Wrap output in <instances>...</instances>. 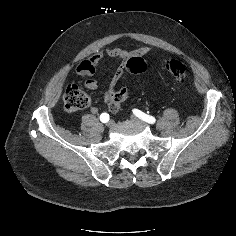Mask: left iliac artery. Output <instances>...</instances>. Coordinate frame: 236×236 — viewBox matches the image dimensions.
I'll use <instances>...</instances> for the list:
<instances>
[{
    "label": "left iliac artery",
    "mask_w": 236,
    "mask_h": 236,
    "mask_svg": "<svg viewBox=\"0 0 236 236\" xmlns=\"http://www.w3.org/2000/svg\"><path fill=\"white\" fill-rule=\"evenodd\" d=\"M133 113L140 118L141 120L149 123V124H154L156 122V119L153 116L147 115L144 112L138 110V109H134Z\"/></svg>",
    "instance_id": "44dca946"
}]
</instances>
